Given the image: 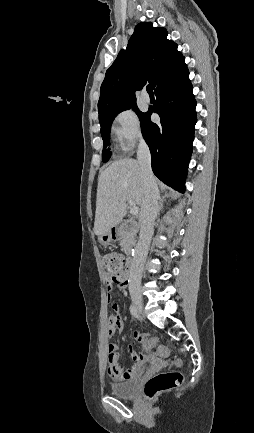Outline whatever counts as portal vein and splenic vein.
Instances as JSON below:
<instances>
[{
	"label": "portal vein and splenic vein",
	"mask_w": 254,
	"mask_h": 433,
	"mask_svg": "<svg viewBox=\"0 0 254 433\" xmlns=\"http://www.w3.org/2000/svg\"><path fill=\"white\" fill-rule=\"evenodd\" d=\"M128 203H129V205L131 206L130 213H131L132 215H137L138 212H139V208H138V207L136 206V204H135L133 201H131V200H129Z\"/></svg>",
	"instance_id": "portal-vein-and-splenic-vein-1"
}]
</instances>
